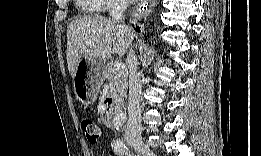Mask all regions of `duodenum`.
Returning <instances> with one entry per match:
<instances>
[{
	"mask_svg": "<svg viewBox=\"0 0 261 156\" xmlns=\"http://www.w3.org/2000/svg\"><path fill=\"white\" fill-rule=\"evenodd\" d=\"M106 103H107V105L113 104V105L118 106V107L123 106V102L121 101V99L119 97H116V96L108 97L106 99Z\"/></svg>",
	"mask_w": 261,
	"mask_h": 156,
	"instance_id": "obj_1",
	"label": "duodenum"
}]
</instances>
